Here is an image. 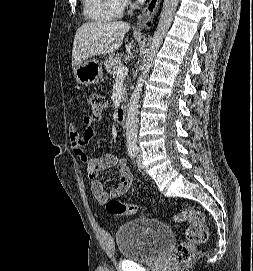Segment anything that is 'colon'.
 <instances>
[{"label":"colon","mask_w":253,"mask_h":271,"mask_svg":"<svg viewBox=\"0 0 253 271\" xmlns=\"http://www.w3.org/2000/svg\"><path fill=\"white\" fill-rule=\"evenodd\" d=\"M89 103L95 114H99L105 107V99L98 93H90ZM106 209L113 215H132L136 213V206L133 204L119 202L110 199L106 202ZM177 223L187 222L188 226L184 233V239L176 246L174 259L179 263H185L194 254L196 245L207 241L209 230L205 223L204 214L195 209H185L174 216Z\"/></svg>","instance_id":"colon-1"}]
</instances>
